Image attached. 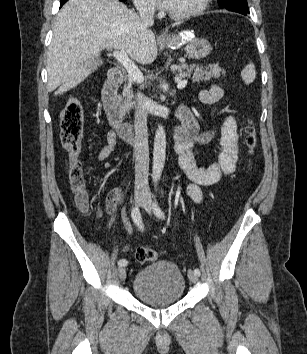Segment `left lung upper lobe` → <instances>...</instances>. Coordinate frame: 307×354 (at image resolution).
Segmentation results:
<instances>
[{"label":"left lung upper lobe","instance_id":"obj_1","mask_svg":"<svg viewBox=\"0 0 307 354\" xmlns=\"http://www.w3.org/2000/svg\"><path fill=\"white\" fill-rule=\"evenodd\" d=\"M221 8L234 12L249 13L247 0H218Z\"/></svg>","mask_w":307,"mask_h":354}]
</instances>
